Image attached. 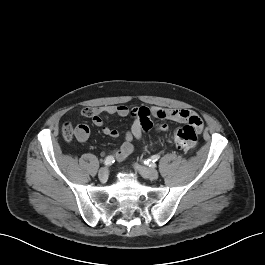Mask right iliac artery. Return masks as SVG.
I'll list each match as a JSON object with an SVG mask.
<instances>
[{"label":"right iliac artery","instance_id":"1","mask_svg":"<svg viewBox=\"0 0 265 265\" xmlns=\"http://www.w3.org/2000/svg\"><path fill=\"white\" fill-rule=\"evenodd\" d=\"M114 162H115V159H114L113 156H108V157H106L105 160H104V164H105L106 166H110V165H112Z\"/></svg>","mask_w":265,"mask_h":265}]
</instances>
